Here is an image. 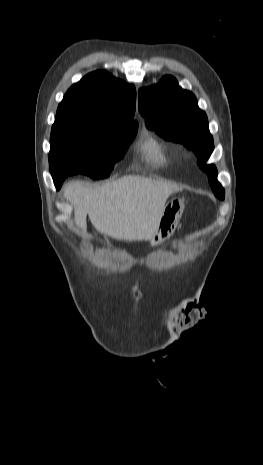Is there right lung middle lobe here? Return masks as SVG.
I'll return each mask as SVG.
<instances>
[{
    "instance_id": "dd1d6c3e",
    "label": "right lung middle lobe",
    "mask_w": 263,
    "mask_h": 465,
    "mask_svg": "<svg viewBox=\"0 0 263 465\" xmlns=\"http://www.w3.org/2000/svg\"><path fill=\"white\" fill-rule=\"evenodd\" d=\"M138 123L80 112H57L50 136L52 177L106 178L123 158Z\"/></svg>"
}]
</instances>
